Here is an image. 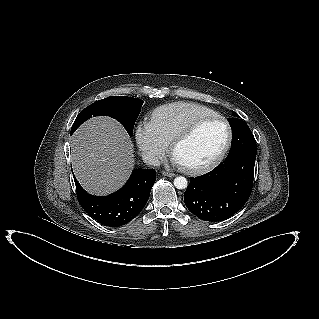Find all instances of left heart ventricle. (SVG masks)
Wrapping results in <instances>:
<instances>
[{
    "label": "left heart ventricle",
    "mask_w": 319,
    "mask_h": 319,
    "mask_svg": "<svg viewBox=\"0 0 319 319\" xmlns=\"http://www.w3.org/2000/svg\"><path fill=\"white\" fill-rule=\"evenodd\" d=\"M226 138V127L218 119L200 124L194 133L176 146L173 155L181 165L198 166L212 160Z\"/></svg>",
    "instance_id": "1"
}]
</instances>
